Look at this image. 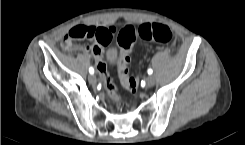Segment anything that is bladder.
Returning <instances> with one entry per match:
<instances>
[{
  "instance_id": "obj_1",
  "label": "bladder",
  "mask_w": 245,
  "mask_h": 145,
  "mask_svg": "<svg viewBox=\"0 0 245 145\" xmlns=\"http://www.w3.org/2000/svg\"><path fill=\"white\" fill-rule=\"evenodd\" d=\"M117 49H115L114 47L108 48L105 52L104 58L105 61L107 63V65L109 67H113L116 63V59H117Z\"/></svg>"
}]
</instances>
